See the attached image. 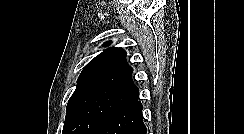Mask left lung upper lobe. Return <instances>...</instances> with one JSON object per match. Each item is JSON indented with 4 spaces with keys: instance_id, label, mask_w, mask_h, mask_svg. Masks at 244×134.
<instances>
[{
    "instance_id": "left-lung-upper-lobe-1",
    "label": "left lung upper lobe",
    "mask_w": 244,
    "mask_h": 134,
    "mask_svg": "<svg viewBox=\"0 0 244 134\" xmlns=\"http://www.w3.org/2000/svg\"><path fill=\"white\" fill-rule=\"evenodd\" d=\"M132 72L124 49L111 47L93 58L68 101L62 134H95L110 115L138 98Z\"/></svg>"
}]
</instances>
